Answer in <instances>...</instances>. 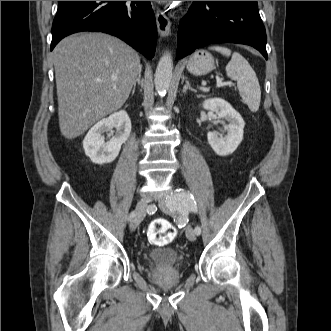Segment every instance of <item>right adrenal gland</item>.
Returning a JSON list of instances; mask_svg holds the SVG:
<instances>
[{"label": "right adrenal gland", "mask_w": 331, "mask_h": 331, "mask_svg": "<svg viewBox=\"0 0 331 331\" xmlns=\"http://www.w3.org/2000/svg\"><path fill=\"white\" fill-rule=\"evenodd\" d=\"M140 78H141V72H139L138 77L136 78L134 85H133V89H132V95L135 93V88H136V84H140Z\"/></svg>", "instance_id": "obj_1"}]
</instances>
